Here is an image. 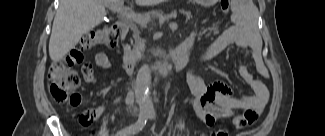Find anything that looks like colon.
<instances>
[{"instance_id": "1", "label": "colon", "mask_w": 325, "mask_h": 136, "mask_svg": "<svg viewBox=\"0 0 325 136\" xmlns=\"http://www.w3.org/2000/svg\"><path fill=\"white\" fill-rule=\"evenodd\" d=\"M223 12H228L230 0H221ZM119 30L114 25L102 26L92 30L83 36L80 43L76 46L78 50H87L95 47H113L116 45ZM49 93L57 103H69L76 105L79 103V96L76 90L80 84V77L75 70H72L64 61H55L49 68ZM202 136H207L203 134Z\"/></svg>"}]
</instances>
